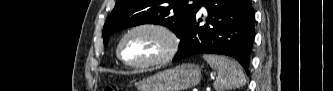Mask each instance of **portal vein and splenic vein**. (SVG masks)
Instances as JSON below:
<instances>
[{
	"mask_svg": "<svg viewBox=\"0 0 333 91\" xmlns=\"http://www.w3.org/2000/svg\"><path fill=\"white\" fill-rule=\"evenodd\" d=\"M193 91H198V90L196 88H194Z\"/></svg>",
	"mask_w": 333,
	"mask_h": 91,
	"instance_id": "18ae733b",
	"label": "portal vein and splenic vein"
}]
</instances>
